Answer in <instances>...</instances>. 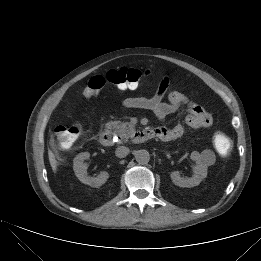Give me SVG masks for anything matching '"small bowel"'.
<instances>
[{
	"mask_svg": "<svg viewBox=\"0 0 261 261\" xmlns=\"http://www.w3.org/2000/svg\"><path fill=\"white\" fill-rule=\"evenodd\" d=\"M169 86V78L164 77L156 90L150 97H129L122 101L121 105L126 109H145L152 111L161 121L167 116L178 111L181 107L186 108L185 122L193 129H209L213 124V118L196 103L190 101L184 94L173 91L168 94L167 100L164 96ZM138 85L118 86L119 90H135ZM157 138L163 141H174L184 133V127L176 124L173 127L162 126L156 129Z\"/></svg>",
	"mask_w": 261,
	"mask_h": 261,
	"instance_id": "small-bowel-1",
	"label": "small bowel"
}]
</instances>
